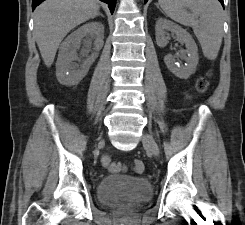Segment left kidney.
<instances>
[{
  "label": "left kidney",
  "instance_id": "left-kidney-1",
  "mask_svg": "<svg viewBox=\"0 0 245 225\" xmlns=\"http://www.w3.org/2000/svg\"><path fill=\"white\" fill-rule=\"evenodd\" d=\"M167 31L175 34L176 40L185 44L186 50L182 51L185 66L176 63L170 54L164 57L167 68L177 77L187 79L196 70L199 61L198 48L192 36L182 27L164 18H159L155 26L156 42L159 47H165L170 39Z\"/></svg>",
  "mask_w": 245,
  "mask_h": 225
}]
</instances>
